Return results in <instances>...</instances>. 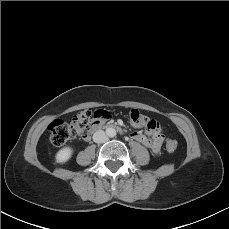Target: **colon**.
<instances>
[{
	"label": "colon",
	"mask_w": 229,
	"mask_h": 229,
	"mask_svg": "<svg viewBox=\"0 0 229 229\" xmlns=\"http://www.w3.org/2000/svg\"><path fill=\"white\" fill-rule=\"evenodd\" d=\"M100 117L103 119L111 118V114L106 110H98L93 112L90 109H85L77 112L71 123L62 120H56L49 126V141L54 146L63 145L69 139L77 134L83 133L89 126L93 117ZM130 121L135 127H145L150 130H155L159 127L158 123L149 119L137 109L130 112ZM165 147L168 152H175L178 148V143L175 139H167Z\"/></svg>",
	"instance_id": "obj_1"
}]
</instances>
